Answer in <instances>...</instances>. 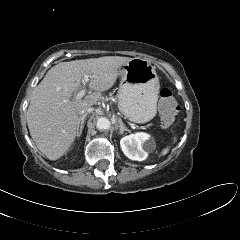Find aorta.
I'll use <instances>...</instances> for the list:
<instances>
[{"label": "aorta", "instance_id": "obj_1", "mask_svg": "<svg viewBox=\"0 0 240 240\" xmlns=\"http://www.w3.org/2000/svg\"><path fill=\"white\" fill-rule=\"evenodd\" d=\"M110 125H111L110 121L105 117L98 118L97 124H96L97 128L100 130L109 129Z\"/></svg>", "mask_w": 240, "mask_h": 240}]
</instances>
